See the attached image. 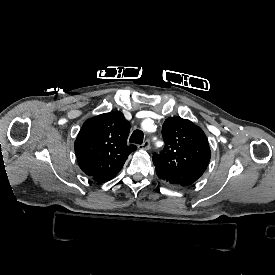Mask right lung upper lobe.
Listing matches in <instances>:
<instances>
[{
  "mask_svg": "<svg viewBox=\"0 0 275 275\" xmlns=\"http://www.w3.org/2000/svg\"><path fill=\"white\" fill-rule=\"evenodd\" d=\"M130 124L120 111H111L84 122L75 141L81 170L90 177L113 176L136 150L127 145Z\"/></svg>",
  "mask_w": 275,
  "mask_h": 275,
  "instance_id": "1",
  "label": "right lung upper lobe"
}]
</instances>
